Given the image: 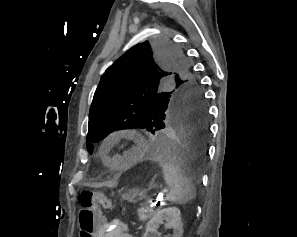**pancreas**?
Here are the masks:
<instances>
[{
    "mask_svg": "<svg viewBox=\"0 0 297 237\" xmlns=\"http://www.w3.org/2000/svg\"><path fill=\"white\" fill-rule=\"evenodd\" d=\"M155 214V210L150 207H141L138 210V217L140 221H146Z\"/></svg>",
    "mask_w": 297,
    "mask_h": 237,
    "instance_id": "cf45deb5",
    "label": "pancreas"
}]
</instances>
